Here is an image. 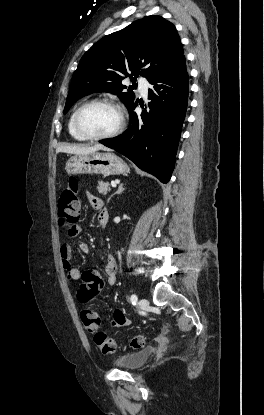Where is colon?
I'll list each match as a JSON object with an SVG mask.
<instances>
[{
    "instance_id": "colon-1",
    "label": "colon",
    "mask_w": 264,
    "mask_h": 415,
    "mask_svg": "<svg viewBox=\"0 0 264 415\" xmlns=\"http://www.w3.org/2000/svg\"><path fill=\"white\" fill-rule=\"evenodd\" d=\"M81 202L78 196V181L71 177L66 188L61 194L59 202V216L64 231L69 236H74L77 232V222L80 215ZM82 284L76 291L78 303L85 305L90 302L102 285L100 275L95 271H87L82 276ZM82 318L85 328L89 332L95 333V341L100 350L107 355H113L117 351V344L105 331L100 329L101 322L95 309H84ZM130 346L139 349L145 346V338L136 336L131 340Z\"/></svg>"
}]
</instances>
